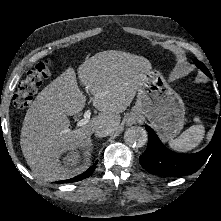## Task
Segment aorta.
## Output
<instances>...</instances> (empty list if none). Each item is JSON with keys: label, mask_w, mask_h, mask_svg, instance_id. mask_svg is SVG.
I'll return each mask as SVG.
<instances>
[{"label": "aorta", "mask_w": 221, "mask_h": 221, "mask_svg": "<svg viewBox=\"0 0 221 221\" xmlns=\"http://www.w3.org/2000/svg\"><path fill=\"white\" fill-rule=\"evenodd\" d=\"M147 140V132L142 127H131L124 133V141L133 147H142L146 144Z\"/></svg>", "instance_id": "aorta-1"}]
</instances>
